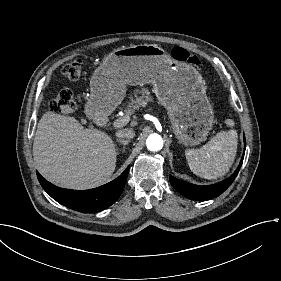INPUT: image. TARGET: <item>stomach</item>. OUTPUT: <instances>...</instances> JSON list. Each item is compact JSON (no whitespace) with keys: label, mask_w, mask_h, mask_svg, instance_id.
<instances>
[{"label":"stomach","mask_w":281,"mask_h":281,"mask_svg":"<svg viewBox=\"0 0 281 281\" xmlns=\"http://www.w3.org/2000/svg\"><path fill=\"white\" fill-rule=\"evenodd\" d=\"M148 83L168 110L179 143L195 146L204 141L212 129L214 112L202 75L154 44L118 48L104 57L90 80L86 116L100 120L110 115L124 99L126 85Z\"/></svg>","instance_id":"0dacf381"}]
</instances>
